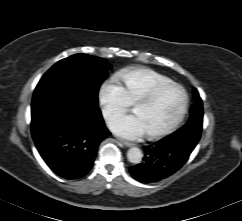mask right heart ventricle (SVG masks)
<instances>
[{
  "label": "right heart ventricle",
  "mask_w": 242,
  "mask_h": 221,
  "mask_svg": "<svg viewBox=\"0 0 242 221\" xmlns=\"http://www.w3.org/2000/svg\"><path fill=\"white\" fill-rule=\"evenodd\" d=\"M128 100L137 101L154 86L171 81L168 77L150 68H133L117 74Z\"/></svg>",
  "instance_id": "e07e8e85"
}]
</instances>
